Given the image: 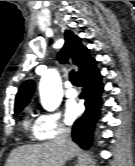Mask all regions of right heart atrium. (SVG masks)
Here are the masks:
<instances>
[{
  "label": "right heart atrium",
  "instance_id": "obj_1",
  "mask_svg": "<svg viewBox=\"0 0 135 166\" xmlns=\"http://www.w3.org/2000/svg\"><path fill=\"white\" fill-rule=\"evenodd\" d=\"M65 133L66 128L64 127L58 112H42L38 115L34 128V136L38 140L53 139Z\"/></svg>",
  "mask_w": 135,
  "mask_h": 166
}]
</instances>
